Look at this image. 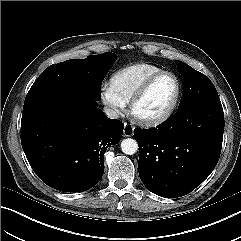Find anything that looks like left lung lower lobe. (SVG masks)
Returning a JSON list of instances; mask_svg holds the SVG:
<instances>
[{"instance_id": "0a47b994", "label": "left lung lower lobe", "mask_w": 241, "mask_h": 241, "mask_svg": "<svg viewBox=\"0 0 241 241\" xmlns=\"http://www.w3.org/2000/svg\"><path fill=\"white\" fill-rule=\"evenodd\" d=\"M224 114L221 104L186 105L151 129H135L139 176L154 194L184 196L215 168L221 152Z\"/></svg>"}]
</instances>
